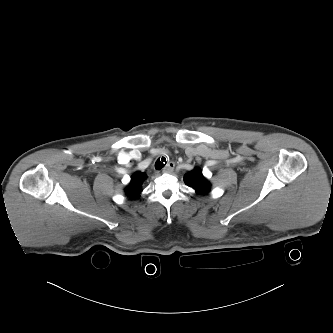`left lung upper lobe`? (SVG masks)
<instances>
[{
  "instance_id": "1",
  "label": "left lung upper lobe",
  "mask_w": 333,
  "mask_h": 333,
  "mask_svg": "<svg viewBox=\"0 0 333 333\" xmlns=\"http://www.w3.org/2000/svg\"><path fill=\"white\" fill-rule=\"evenodd\" d=\"M184 182L199 194H208L211 189L210 182L203 176L199 168H194V170L186 173Z\"/></svg>"
}]
</instances>
